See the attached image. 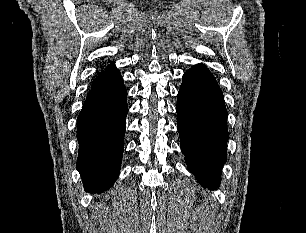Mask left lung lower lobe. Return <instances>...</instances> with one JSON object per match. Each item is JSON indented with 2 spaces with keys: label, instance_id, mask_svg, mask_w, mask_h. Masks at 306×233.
<instances>
[{
  "label": "left lung lower lobe",
  "instance_id": "0a47b994",
  "mask_svg": "<svg viewBox=\"0 0 306 233\" xmlns=\"http://www.w3.org/2000/svg\"><path fill=\"white\" fill-rule=\"evenodd\" d=\"M176 111L188 169L202 186L219 187L227 158V111L223 93L205 65L184 73Z\"/></svg>",
  "mask_w": 306,
  "mask_h": 233
}]
</instances>
